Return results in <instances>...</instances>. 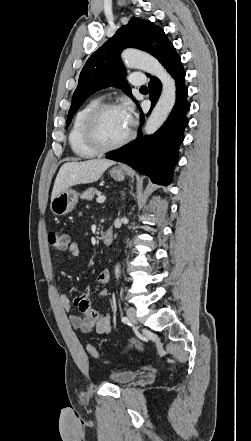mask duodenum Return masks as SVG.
Returning <instances> with one entry per match:
<instances>
[{"mask_svg": "<svg viewBox=\"0 0 251 441\" xmlns=\"http://www.w3.org/2000/svg\"><path fill=\"white\" fill-rule=\"evenodd\" d=\"M101 240L104 244L109 245L113 241V230L108 228L101 236Z\"/></svg>", "mask_w": 251, "mask_h": 441, "instance_id": "1", "label": "duodenum"}]
</instances>
